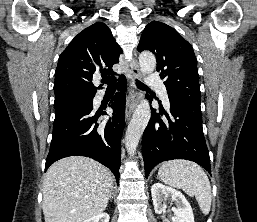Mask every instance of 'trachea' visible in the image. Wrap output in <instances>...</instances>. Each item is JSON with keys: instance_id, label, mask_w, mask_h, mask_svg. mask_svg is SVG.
<instances>
[{"instance_id": "1", "label": "trachea", "mask_w": 257, "mask_h": 222, "mask_svg": "<svg viewBox=\"0 0 257 222\" xmlns=\"http://www.w3.org/2000/svg\"><path fill=\"white\" fill-rule=\"evenodd\" d=\"M101 82L106 83L108 88H114L117 86V79L114 76H105V77H103ZM136 85L138 86V88H141V89L148 88L145 84H143L142 82H140L138 80H136Z\"/></svg>"}]
</instances>
